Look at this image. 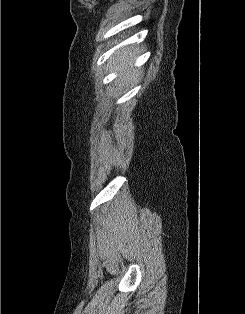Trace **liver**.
<instances>
[{
  "mask_svg": "<svg viewBox=\"0 0 245 314\" xmlns=\"http://www.w3.org/2000/svg\"><path fill=\"white\" fill-rule=\"evenodd\" d=\"M138 48H126L119 53L115 54L114 57L110 60L111 65L116 70H124L127 68L129 63L138 55ZM139 71H125L121 74L120 78L123 82L129 83L134 81L139 75Z\"/></svg>",
  "mask_w": 245,
  "mask_h": 314,
  "instance_id": "1",
  "label": "liver"
}]
</instances>
